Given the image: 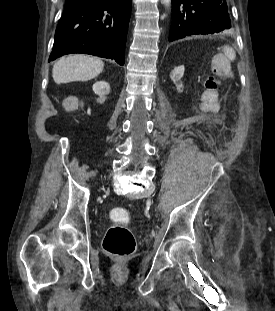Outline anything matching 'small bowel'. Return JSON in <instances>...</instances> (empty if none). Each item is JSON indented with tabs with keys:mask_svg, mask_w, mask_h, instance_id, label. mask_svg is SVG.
<instances>
[{
	"mask_svg": "<svg viewBox=\"0 0 275 311\" xmlns=\"http://www.w3.org/2000/svg\"><path fill=\"white\" fill-rule=\"evenodd\" d=\"M220 56H210V74H206V80H200L202 87L200 92L199 107L201 112H222L221 80H227L231 75L232 62H239L238 50L231 46H221Z\"/></svg>",
	"mask_w": 275,
	"mask_h": 311,
	"instance_id": "1",
	"label": "small bowel"
}]
</instances>
